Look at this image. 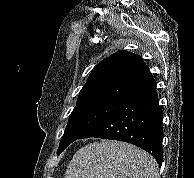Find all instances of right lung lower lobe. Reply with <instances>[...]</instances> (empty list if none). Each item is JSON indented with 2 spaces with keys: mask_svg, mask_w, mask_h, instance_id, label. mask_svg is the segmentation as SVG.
<instances>
[{
  "mask_svg": "<svg viewBox=\"0 0 194 178\" xmlns=\"http://www.w3.org/2000/svg\"><path fill=\"white\" fill-rule=\"evenodd\" d=\"M162 120L157 92L153 91L123 103L78 139L97 137L128 142L150 153L161 166Z\"/></svg>",
  "mask_w": 194,
  "mask_h": 178,
  "instance_id": "right-lung-lower-lobe-1",
  "label": "right lung lower lobe"
}]
</instances>
